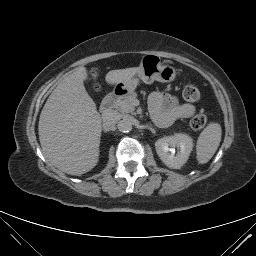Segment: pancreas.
Listing matches in <instances>:
<instances>
[{
  "label": "pancreas",
  "instance_id": "pancreas-1",
  "mask_svg": "<svg viewBox=\"0 0 256 256\" xmlns=\"http://www.w3.org/2000/svg\"><path fill=\"white\" fill-rule=\"evenodd\" d=\"M137 98L136 93H132L131 95L126 96L123 100H119L115 108L122 113H133L135 110L134 102Z\"/></svg>",
  "mask_w": 256,
  "mask_h": 256
}]
</instances>
